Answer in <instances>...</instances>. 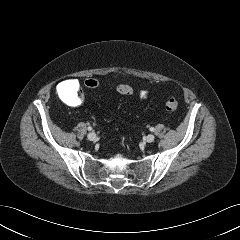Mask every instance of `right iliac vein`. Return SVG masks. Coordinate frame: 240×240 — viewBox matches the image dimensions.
I'll return each mask as SVG.
<instances>
[{
  "label": "right iliac vein",
  "instance_id": "right-iliac-vein-1",
  "mask_svg": "<svg viewBox=\"0 0 240 240\" xmlns=\"http://www.w3.org/2000/svg\"><path fill=\"white\" fill-rule=\"evenodd\" d=\"M87 138L90 140V141H94L96 139V134L94 132H90L88 135H87Z\"/></svg>",
  "mask_w": 240,
  "mask_h": 240
}]
</instances>
